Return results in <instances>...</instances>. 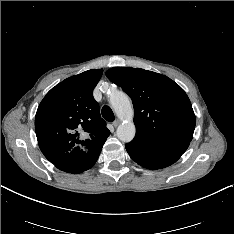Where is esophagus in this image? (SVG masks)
<instances>
[{
    "mask_svg": "<svg viewBox=\"0 0 234 234\" xmlns=\"http://www.w3.org/2000/svg\"><path fill=\"white\" fill-rule=\"evenodd\" d=\"M112 124L114 127H117L120 124V121L116 119Z\"/></svg>",
    "mask_w": 234,
    "mask_h": 234,
    "instance_id": "34e87169",
    "label": "esophagus"
}]
</instances>
